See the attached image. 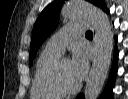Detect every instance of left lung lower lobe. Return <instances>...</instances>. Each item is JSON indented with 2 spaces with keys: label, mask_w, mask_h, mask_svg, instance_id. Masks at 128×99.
Segmentation results:
<instances>
[{
  "label": "left lung lower lobe",
  "mask_w": 128,
  "mask_h": 99,
  "mask_svg": "<svg viewBox=\"0 0 128 99\" xmlns=\"http://www.w3.org/2000/svg\"><path fill=\"white\" fill-rule=\"evenodd\" d=\"M99 7H101L105 12H107L109 14V10L106 9V7H105L104 0H103V2L100 3ZM116 40H117V38H116ZM117 57H118V51L115 49L114 60H113L110 76H109L108 82L106 84V88H105L104 92L102 93V95L99 97V99H112V97H113L112 89L114 87L115 75L117 72ZM77 99H82V94H79L77 96Z\"/></svg>",
  "instance_id": "obj_1"
}]
</instances>
